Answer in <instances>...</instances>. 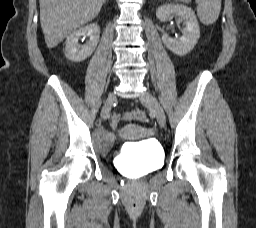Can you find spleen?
<instances>
[{
    "mask_svg": "<svg viewBox=\"0 0 256 228\" xmlns=\"http://www.w3.org/2000/svg\"><path fill=\"white\" fill-rule=\"evenodd\" d=\"M222 0H196L197 14L204 25H211L216 22L221 10Z\"/></svg>",
    "mask_w": 256,
    "mask_h": 228,
    "instance_id": "3e777b00",
    "label": "spleen"
}]
</instances>
